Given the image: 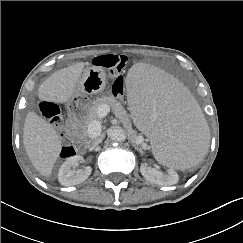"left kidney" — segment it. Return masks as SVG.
Here are the masks:
<instances>
[{"label": "left kidney", "mask_w": 243, "mask_h": 243, "mask_svg": "<svg viewBox=\"0 0 243 243\" xmlns=\"http://www.w3.org/2000/svg\"><path fill=\"white\" fill-rule=\"evenodd\" d=\"M140 172L146 180L160 186L174 185L179 180V176L175 170L168 169L167 173L164 174L156 168H152L146 164L140 166Z\"/></svg>", "instance_id": "left-kidney-1"}]
</instances>
